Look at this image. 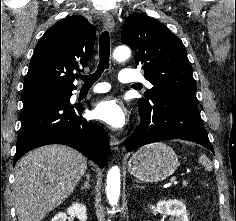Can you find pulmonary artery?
Segmentation results:
<instances>
[{"label": "pulmonary artery", "mask_w": 236, "mask_h": 221, "mask_svg": "<svg viewBox=\"0 0 236 221\" xmlns=\"http://www.w3.org/2000/svg\"><path fill=\"white\" fill-rule=\"evenodd\" d=\"M118 78L121 82L124 83H133V82H144L147 87H151V83L144 80V77L132 70L123 69L120 71ZM110 89V86L107 83H101L92 89V93H103L107 92Z\"/></svg>", "instance_id": "obj_1"}]
</instances>
